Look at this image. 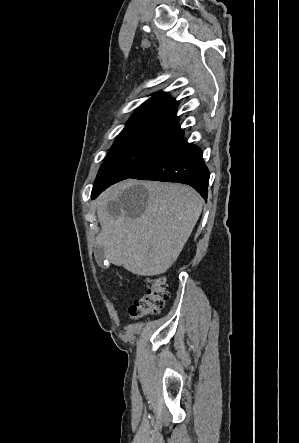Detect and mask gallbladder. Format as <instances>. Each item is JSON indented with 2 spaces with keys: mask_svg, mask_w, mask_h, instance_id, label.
Wrapping results in <instances>:
<instances>
[{
  "mask_svg": "<svg viewBox=\"0 0 299 443\" xmlns=\"http://www.w3.org/2000/svg\"><path fill=\"white\" fill-rule=\"evenodd\" d=\"M94 255H95L96 261H97L100 265H102V264H103V261H104V258H105V248H104V246H102V245H97V246L95 247V250H94Z\"/></svg>",
  "mask_w": 299,
  "mask_h": 443,
  "instance_id": "1",
  "label": "gallbladder"
}]
</instances>
